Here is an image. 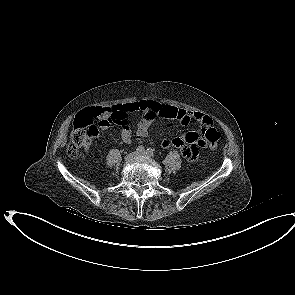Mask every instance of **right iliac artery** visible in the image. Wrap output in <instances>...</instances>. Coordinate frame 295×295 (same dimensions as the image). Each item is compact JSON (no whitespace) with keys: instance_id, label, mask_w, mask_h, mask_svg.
Here are the masks:
<instances>
[{"instance_id":"82829eb1","label":"right iliac artery","mask_w":295,"mask_h":295,"mask_svg":"<svg viewBox=\"0 0 295 295\" xmlns=\"http://www.w3.org/2000/svg\"><path fill=\"white\" fill-rule=\"evenodd\" d=\"M136 150H137V152L141 153V152H143L145 149H144L143 146H138Z\"/></svg>"}]
</instances>
